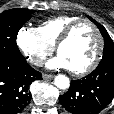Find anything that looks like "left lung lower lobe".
Returning a JSON list of instances; mask_svg holds the SVG:
<instances>
[{"instance_id":"1","label":"left lung lower lobe","mask_w":114,"mask_h":114,"mask_svg":"<svg viewBox=\"0 0 114 114\" xmlns=\"http://www.w3.org/2000/svg\"><path fill=\"white\" fill-rule=\"evenodd\" d=\"M114 96V63L98 67L82 80H72L68 92L59 96L72 114H98Z\"/></svg>"}]
</instances>
